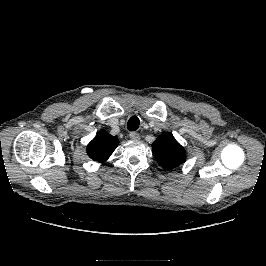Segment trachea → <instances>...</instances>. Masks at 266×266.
<instances>
[{
    "label": "trachea",
    "mask_w": 266,
    "mask_h": 266,
    "mask_svg": "<svg viewBox=\"0 0 266 266\" xmlns=\"http://www.w3.org/2000/svg\"><path fill=\"white\" fill-rule=\"evenodd\" d=\"M140 121L138 119V117L136 116H132L127 123V128L130 131H136L139 127Z\"/></svg>",
    "instance_id": "3493384b"
}]
</instances>
